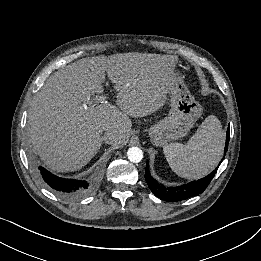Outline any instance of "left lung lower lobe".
Listing matches in <instances>:
<instances>
[{
	"mask_svg": "<svg viewBox=\"0 0 261 261\" xmlns=\"http://www.w3.org/2000/svg\"><path fill=\"white\" fill-rule=\"evenodd\" d=\"M229 128L227 129V135H226V144H225V149H224V155L226 154V151L228 149V143H229ZM224 159V157H223ZM222 159V160H223ZM222 160L220 163H222ZM219 163V164H220ZM218 168V167H217ZM217 168L211 172L208 176L199 179L197 181H192L187 184L177 186V187H165L163 185H160L151 175L148 169V162L146 163V170H145V178L146 182L153 192L155 196L160 198L161 200L164 201H181L188 199L190 197L196 196L201 194L208 184L211 182L213 179L215 173L217 172Z\"/></svg>",
	"mask_w": 261,
	"mask_h": 261,
	"instance_id": "0a47b994",
	"label": "left lung lower lobe"
}]
</instances>
